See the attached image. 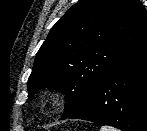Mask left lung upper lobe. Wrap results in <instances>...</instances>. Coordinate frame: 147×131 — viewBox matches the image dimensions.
<instances>
[{"instance_id":"1","label":"left lung upper lobe","mask_w":147,"mask_h":131,"mask_svg":"<svg viewBox=\"0 0 147 131\" xmlns=\"http://www.w3.org/2000/svg\"><path fill=\"white\" fill-rule=\"evenodd\" d=\"M147 42V11L138 0H81L52 27L28 80V97L63 91L61 120L78 111L110 69Z\"/></svg>"}]
</instances>
